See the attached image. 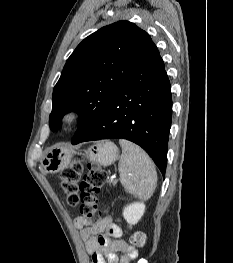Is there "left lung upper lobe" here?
<instances>
[{
	"label": "left lung upper lobe",
	"instance_id": "1",
	"mask_svg": "<svg viewBox=\"0 0 233 263\" xmlns=\"http://www.w3.org/2000/svg\"><path fill=\"white\" fill-rule=\"evenodd\" d=\"M134 23L119 21L85 38L66 61L53 90L50 128L76 111L79 127L72 143L80 142L96 125L122 83L152 44Z\"/></svg>",
	"mask_w": 233,
	"mask_h": 263
}]
</instances>
